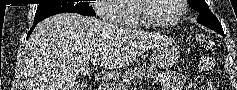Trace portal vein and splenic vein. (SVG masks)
Segmentation results:
<instances>
[{
	"mask_svg": "<svg viewBox=\"0 0 237 90\" xmlns=\"http://www.w3.org/2000/svg\"><path fill=\"white\" fill-rule=\"evenodd\" d=\"M93 66H97L98 62H92Z\"/></svg>",
	"mask_w": 237,
	"mask_h": 90,
	"instance_id": "18ae733b",
	"label": "portal vein and splenic vein"
}]
</instances>
